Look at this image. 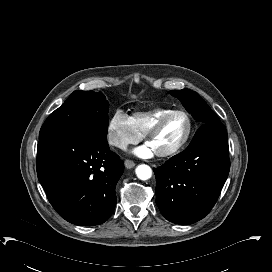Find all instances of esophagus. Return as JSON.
Instances as JSON below:
<instances>
[{
	"label": "esophagus",
	"instance_id": "esophagus-1",
	"mask_svg": "<svg viewBox=\"0 0 272 272\" xmlns=\"http://www.w3.org/2000/svg\"><path fill=\"white\" fill-rule=\"evenodd\" d=\"M124 164H125V167L127 169H131V168H133L135 166V163L132 160H129V159H126L124 161Z\"/></svg>",
	"mask_w": 272,
	"mask_h": 272
}]
</instances>
